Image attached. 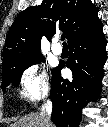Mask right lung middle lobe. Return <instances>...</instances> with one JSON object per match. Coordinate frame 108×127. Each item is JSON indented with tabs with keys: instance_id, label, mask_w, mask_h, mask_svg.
Listing matches in <instances>:
<instances>
[{
	"instance_id": "right-lung-middle-lobe-1",
	"label": "right lung middle lobe",
	"mask_w": 108,
	"mask_h": 127,
	"mask_svg": "<svg viewBox=\"0 0 108 127\" xmlns=\"http://www.w3.org/2000/svg\"><path fill=\"white\" fill-rule=\"evenodd\" d=\"M41 61H43V56L37 55L15 63L2 65V89L5 90V87L10 83H12L13 86H18L22 72L34 64L41 63Z\"/></svg>"
}]
</instances>
